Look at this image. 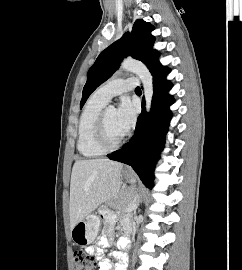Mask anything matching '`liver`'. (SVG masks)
Segmentation results:
<instances>
[{
	"mask_svg": "<svg viewBox=\"0 0 242 270\" xmlns=\"http://www.w3.org/2000/svg\"><path fill=\"white\" fill-rule=\"evenodd\" d=\"M123 164L109 159L79 160L74 163L70 182L71 229L99 205L121 194Z\"/></svg>",
	"mask_w": 242,
	"mask_h": 270,
	"instance_id": "obj_1",
	"label": "liver"
}]
</instances>
